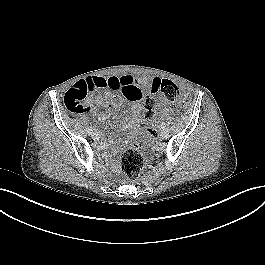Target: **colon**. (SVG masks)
Instances as JSON below:
<instances>
[{"label":"colon","mask_w":265,"mask_h":265,"mask_svg":"<svg viewBox=\"0 0 265 265\" xmlns=\"http://www.w3.org/2000/svg\"><path fill=\"white\" fill-rule=\"evenodd\" d=\"M97 82L90 80L80 81L70 88L65 94L64 101L67 109L73 113L84 111L83 102L89 92L96 89ZM153 94H159V102L152 97H147L143 102L144 120L151 122L157 115L159 105L167 106L174 102L182 105L187 103V98L182 96L179 87L171 80L157 79L152 84ZM150 135L147 132L140 133L133 147L127 149L121 156V168L127 178L131 181L137 180L143 170L144 162L142 152L150 143Z\"/></svg>","instance_id":"5ec220e1"}]
</instances>
